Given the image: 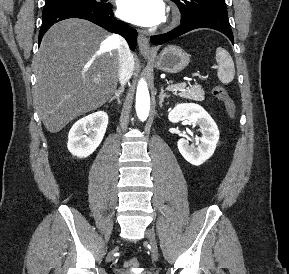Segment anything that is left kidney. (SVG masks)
Returning <instances> with one entry per match:
<instances>
[{"label": "left kidney", "mask_w": 289, "mask_h": 274, "mask_svg": "<svg viewBox=\"0 0 289 274\" xmlns=\"http://www.w3.org/2000/svg\"><path fill=\"white\" fill-rule=\"evenodd\" d=\"M172 123H178L182 119L188 120L193 126H198L202 136L198 138V147L190 146L189 142L181 138L178 141V149L181 155L189 163L195 166L203 164L214 153L219 140V130L211 116L198 104H177L168 114Z\"/></svg>", "instance_id": "5707ae66"}]
</instances>
